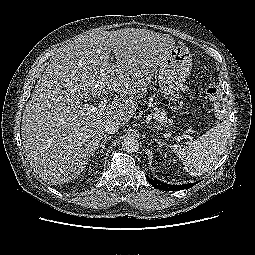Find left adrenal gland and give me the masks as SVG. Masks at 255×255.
<instances>
[{"label": "left adrenal gland", "instance_id": "1", "mask_svg": "<svg viewBox=\"0 0 255 255\" xmlns=\"http://www.w3.org/2000/svg\"><path fill=\"white\" fill-rule=\"evenodd\" d=\"M152 137H153V140H154L157 144H159L160 146H162V144L159 142V140L156 139V138H154V135H152Z\"/></svg>", "mask_w": 255, "mask_h": 255}]
</instances>
